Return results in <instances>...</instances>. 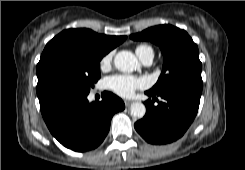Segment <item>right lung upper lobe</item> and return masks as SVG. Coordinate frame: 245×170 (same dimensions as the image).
Returning <instances> with one entry per match:
<instances>
[{"instance_id":"1","label":"right lung upper lobe","mask_w":245,"mask_h":170,"mask_svg":"<svg viewBox=\"0 0 245 170\" xmlns=\"http://www.w3.org/2000/svg\"><path fill=\"white\" fill-rule=\"evenodd\" d=\"M126 36H107L97 34L90 29H68L49 41L45 47L65 48L103 57L116 46L124 42Z\"/></svg>"}]
</instances>
